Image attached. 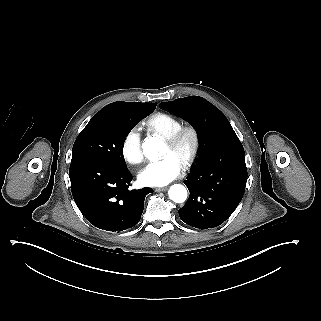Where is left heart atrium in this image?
Instances as JSON below:
<instances>
[{"label": "left heart atrium", "mask_w": 321, "mask_h": 321, "mask_svg": "<svg viewBox=\"0 0 321 321\" xmlns=\"http://www.w3.org/2000/svg\"><path fill=\"white\" fill-rule=\"evenodd\" d=\"M184 172L182 161L175 154L150 162L138 174L139 182L144 186L161 187L180 177Z\"/></svg>", "instance_id": "left-heart-atrium-1"}]
</instances>
